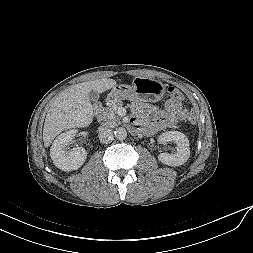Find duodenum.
<instances>
[{
    "label": "duodenum",
    "mask_w": 253,
    "mask_h": 253,
    "mask_svg": "<svg viewBox=\"0 0 253 253\" xmlns=\"http://www.w3.org/2000/svg\"><path fill=\"white\" fill-rule=\"evenodd\" d=\"M114 99H115V97H110V98L108 99V104H109V103H112V102L114 101ZM102 112H103V108H102V107H96V108H95V116H96L97 118H100V117H101Z\"/></svg>",
    "instance_id": "duodenum-1"
}]
</instances>
